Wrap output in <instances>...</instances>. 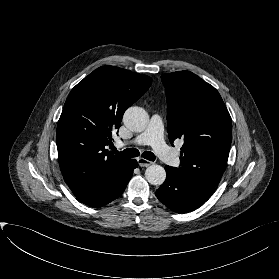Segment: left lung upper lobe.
<instances>
[{
    "instance_id": "obj_1",
    "label": "left lung upper lobe",
    "mask_w": 279,
    "mask_h": 279,
    "mask_svg": "<svg viewBox=\"0 0 279 279\" xmlns=\"http://www.w3.org/2000/svg\"><path fill=\"white\" fill-rule=\"evenodd\" d=\"M161 77L170 142L184 140L176 169L183 177L215 190L229 156L230 114L218 91L194 73L178 71Z\"/></svg>"
}]
</instances>
